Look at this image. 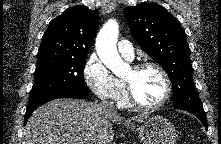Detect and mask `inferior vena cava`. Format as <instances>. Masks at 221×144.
I'll return each instance as SVG.
<instances>
[{
  "label": "inferior vena cava",
  "instance_id": "obj_1",
  "mask_svg": "<svg viewBox=\"0 0 221 144\" xmlns=\"http://www.w3.org/2000/svg\"><path fill=\"white\" fill-rule=\"evenodd\" d=\"M100 105L103 108V110L106 112H109V113L115 112V108L107 100H103Z\"/></svg>",
  "mask_w": 221,
  "mask_h": 144
}]
</instances>
